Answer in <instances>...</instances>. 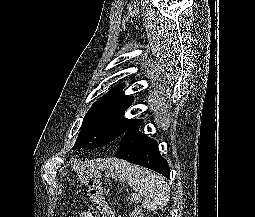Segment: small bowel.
I'll use <instances>...</instances> for the list:
<instances>
[{"label": "small bowel", "mask_w": 255, "mask_h": 217, "mask_svg": "<svg viewBox=\"0 0 255 217\" xmlns=\"http://www.w3.org/2000/svg\"><path fill=\"white\" fill-rule=\"evenodd\" d=\"M106 209H107V212L106 213H102L104 217H111V210L108 206V204L106 203ZM78 217H94L93 216V213L90 212V211H82L79 213Z\"/></svg>", "instance_id": "1"}]
</instances>
